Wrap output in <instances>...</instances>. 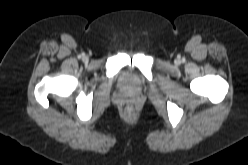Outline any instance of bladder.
<instances>
[{"label": "bladder", "instance_id": "obj_1", "mask_svg": "<svg viewBox=\"0 0 248 165\" xmlns=\"http://www.w3.org/2000/svg\"><path fill=\"white\" fill-rule=\"evenodd\" d=\"M119 83L122 90L128 94H138L143 87L141 77L131 70H126L121 73Z\"/></svg>", "mask_w": 248, "mask_h": 165}]
</instances>
